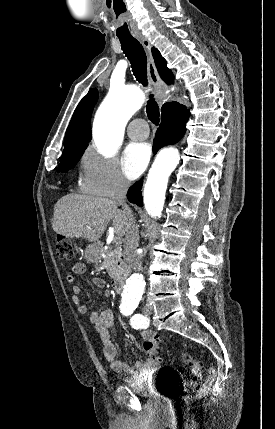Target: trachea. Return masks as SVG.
Here are the masks:
<instances>
[{
    "instance_id": "1",
    "label": "trachea",
    "mask_w": 275,
    "mask_h": 429,
    "mask_svg": "<svg viewBox=\"0 0 275 429\" xmlns=\"http://www.w3.org/2000/svg\"><path fill=\"white\" fill-rule=\"evenodd\" d=\"M119 40L124 54L131 63L132 71L136 80L143 86H147V57L143 46L134 37H119ZM146 112L149 120L158 126L160 121V112L153 94L149 95Z\"/></svg>"
}]
</instances>
